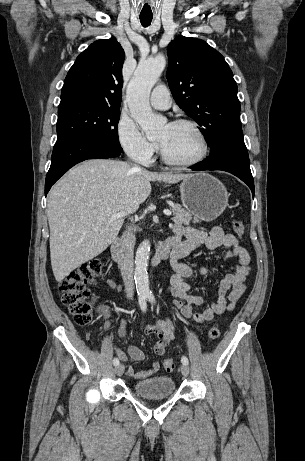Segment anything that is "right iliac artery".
Wrapping results in <instances>:
<instances>
[{"instance_id":"1","label":"right iliac artery","mask_w":305,"mask_h":461,"mask_svg":"<svg viewBox=\"0 0 305 461\" xmlns=\"http://www.w3.org/2000/svg\"><path fill=\"white\" fill-rule=\"evenodd\" d=\"M139 305H140V308L142 311H146V308H147V305H146V297L142 296L139 298ZM113 364L115 366H117L119 364V359L118 358H114L113 359Z\"/></svg>"}]
</instances>
